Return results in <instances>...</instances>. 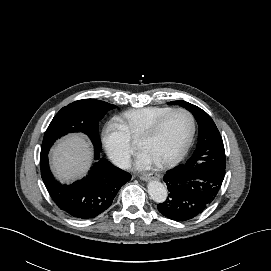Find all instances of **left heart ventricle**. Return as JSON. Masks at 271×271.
<instances>
[{"instance_id": "1", "label": "left heart ventricle", "mask_w": 271, "mask_h": 271, "mask_svg": "<svg viewBox=\"0 0 271 271\" xmlns=\"http://www.w3.org/2000/svg\"><path fill=\"white\" fill-rule=\"evenodd\" d=\"M191 127L190 117L184 112H177L165 121L155 135L140 144L141 149L147 151L156 162L164 161L184 147Z\"/></svg>"}]
</instances>
